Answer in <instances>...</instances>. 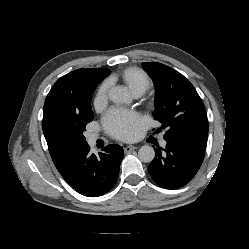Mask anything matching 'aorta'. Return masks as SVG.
Listing matches in <instances>:
<instances>
[{
  "label": "aorta",
  "mask_w": 249,
  "mask_h": 249,
  "mask_svg": "<svg viewBox=\"0 0 249 249\" xmlns=\"http://www.w3.org/2000/svg\"><path fill=\"white\" fill-rule=\"evenodd\" d=\"M109 98L116 104H129L131 97L128 91L120 86H115L109 90ZM139 159L144 163H150L155 157V151L152 146L144 145L138 151Z\"/></svg>",
  "instance_id": "aorta-1"
}]
</instances>
